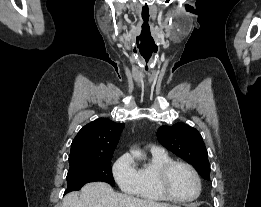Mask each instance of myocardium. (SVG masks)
Here are the masks:
<instances>
[{
	"instance_id": "myocardium-1",
	"label": "myocardium",
	"mask_w": 261,
	"mask_h": 207,
	"mask_svg": "<svg viewBox=\"0 0 261 207\" xmlns=\"http://www.w3.org/2000/svg\"><path fill=\"white\" fill-rule=\"evenodd\" d=\"M176 166H183V167L187 168L193 175V177L196 181V185H197V191L193 197L187 198V199H182V198L176 197L171 192V190L169 188V183H168L169 175H170V172L172 171V169ZM157 181H158V186H159L161 193L168 200L176 202V203H181V204L191 203V202L195 201L196 199H198V197L201 194V190H202V182H201V178H200L198 172L191 164L184 162V161L172 160V161L164 164L158 171Z\"/></svg>"
}]
</instances>
